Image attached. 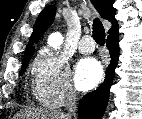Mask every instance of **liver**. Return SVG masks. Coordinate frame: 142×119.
Wrapping results in <instances>:
<instances>
[{
  "label": "liver",
  "instance_id": "6515ba94",
  "mask_svg": "<svg viewBox=\"0 0 142 119\" xmlns=\"http://www.w3.org/2000/svg\"><path fill=\"white\" fill-rule=\"evenodd\" d=\"M21 119H67L64 114L45 109L26 110L19 116Z\"/></svg>",
  "mask_w": 142,
  "mask_h": 119
}]
</instances>
